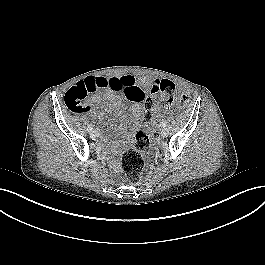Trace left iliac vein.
Here are the masks:
<instances>
[{"mask_svg": "<svg viewBox=\"0 0 265 265\" xmlns=\"http://www.w3.org/2000/svg\"><path fill=\"white\" fill-rule=\"evenodd\" d=\"M169 135V129L168 128H163L161 130V136L162 137H167Z\"/></svg>", "mask_w": 265, "mask_h": 265, "instance_id": "1", "label": "left iliac vein"}]
</instances>
